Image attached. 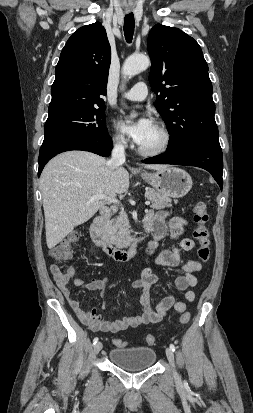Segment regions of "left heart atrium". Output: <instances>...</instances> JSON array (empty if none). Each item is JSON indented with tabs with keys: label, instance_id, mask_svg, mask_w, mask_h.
Here are the masks:
<instances>
[{
	"label": "left heart atrium",
	"instance_id": "39dd6f15",
	"mask_svg": "<svg viewBox=\"0 0 253 413\" xmlns=\"http://www.w3.org/2000/svg\"><path fill=\"white\" fill-rule=\"evenodd\" d=\"M153 125L152 119L147 115H140L132 121L122 120L119 123L120 128L129 134L137 144H140L144 140Z\"/></svg>",
	"mask_w": 253,
	"mask_h": 413
}]
</instances>
